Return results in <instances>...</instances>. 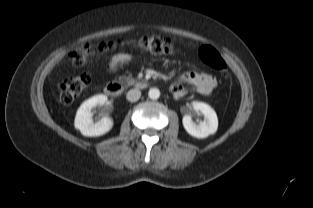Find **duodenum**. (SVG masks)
<instances>
[{
  "label": "duodenum",
  "mask_w": 313,
  "mask_h": 208,
  "mask_svg": "<svg viewBox=\"0 0 313 208\" xmlns=\"http://www.w3.org/2000/svg\"><path fill=\"white\" fill-rule=\"evenodd\" d=\"M132 86L136 89H144L147 86V83L143 80H139L132 83ZM125 89V84L118 81H111L107 83L104 87V91L108 96L118 97L120 96Z\"/></svg>",
  "instance_id": "1"
}]
</instances>
